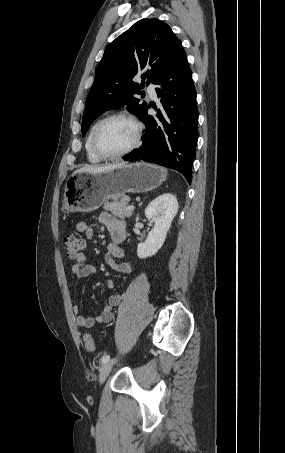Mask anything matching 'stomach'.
<instances>
[{
	"label": "stomach",
	"instance_id": "0dacf381",
	"mask_svg": "<svg viewBox=\"0 0 285 453\" xmlns=\"http://www.w3.org/2000/svg\"><path fill=\"white\" fill-rule=\"evenodd\" d=\"M165 168L144 162L124 164L98 173H74L66 183L63 209L66 212H91L103 202L118 200L126 193H145L165 179Z\"/></svg>",
	"mask_w": 285,
	"mask_h": 453
}]
</instances>
